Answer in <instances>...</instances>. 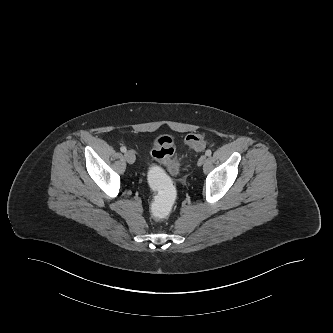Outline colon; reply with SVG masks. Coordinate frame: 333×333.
<instances>
[{
    "label": "colon",
    "instance_id": "5ec220e1",
    "mask_svg": "<svg viewBox=\"0 0 333 333\" xmlns=\"http://www.w3.org/2000/svg\"><path fill=\"white\" fill-rule=\"evenodd\" d=\"M186 144L193 150H203L206 138L203 134H189ZM152 157L163 165L152 163L147 168L146 182L154 189L152 200L153 210L149 213V220L153 224H161L171 211L174 201V180L169 174H177L180 169L179 160L175 154L174 139L169 135H161L154 141ZM169 171V172H168Z\"/></svg>",
    "mask_w": 333,
    "mask_h": 333
}]
</instances>
